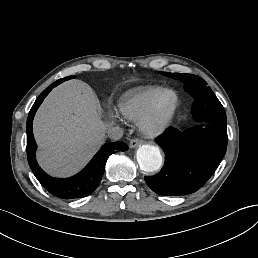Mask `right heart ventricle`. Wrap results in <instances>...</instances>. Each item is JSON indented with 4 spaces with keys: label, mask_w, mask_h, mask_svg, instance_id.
Returning <instances> with one entry per match:
<instances>
[{
    "label": "right heart ventricle",
    "mask_w": 258,
    "mask_h": 258,
    "mask_svg": "<svg viewBox=\"0 0 258 258\" xmlns=\"http://www.w3.org/2000/svg\"><path fill=\"white\" fill-rule=\"evenodd\" d=\"M160 90L161 87L150 85L125 93L118 102L121 113L130 120H137L149 108Z\"/></svg>",
    "instance_id": "right-heart-ventricle-1"
}]
</instances>
